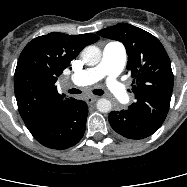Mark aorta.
<instances>
[{
  "instance_id": "1",
  "label": "aorta",
  "mask_w": 187,
  "mask_h": 187,
  "mask_svg": "<svg viewBox=\"0 0 187 187\" xmlns=\"http://www.w3.org/2000/svg\"><path fill=\"white\" fill-rule=\"evenodd\" d=\"M101 50L94 45L85 47L82 51V59L88 66H95L101 60ZM112 104L106 98H101L97 101V109L102 113H107L111 110Z\"/></svg>"
}]
</instances>
